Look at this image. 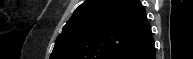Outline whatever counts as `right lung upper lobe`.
I'll list each match as a JSON object with an SVG mask.
<instances>
[{"label":"right lung upper lobe","mask_w":193,"mask_h":59,"mask_svg":"<svg viewBox=\"0 0 193 59\" xmlns=\"http://www.w3.org/2000/svg\"><path fill=\"white\" fill-rule=\"evenodd\" d=\"M151 38L139 0H86L63 27L50 59H124Z\"/></svg>","instance_id":"right-lung-upper-lobe-1"}]
</instances>
